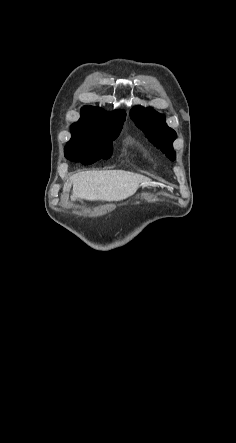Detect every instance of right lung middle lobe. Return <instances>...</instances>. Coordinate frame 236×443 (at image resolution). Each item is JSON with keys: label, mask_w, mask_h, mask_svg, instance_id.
<instances>
[{"label": "right lung middle lobe", "mask_w": 236, "mask_h": 443, "mask_svg": "<svg viewBox=\"0 0 236 443\" xmlns=\"http://www.w3.org/2000/svg\"><path fill=\"white\" fill-rule=\"evenodd\" d=\"M123 126V121L108 119H79L71 125V139L65 148L74 146H92L103 150H112L115 140Z\"/></svg>", "instance_id": "1"}]
</instances>
